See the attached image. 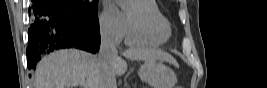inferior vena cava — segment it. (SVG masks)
Here are the masks:
<instances>
[{"mask_svg":"<svg viewBox=\"0 0 267 88\" xmlns=\"http://www.w3.org/2000/svg\"><path fill=\"white\" fill-rule=\"evenodd\" d=\"M101 44L99 50V82L95 88H116L115 71L113 68L114 61L118 58L116 44L112 33L103 27L100 31Z\"/></svg>","mask_w":267,"mask_h":88,"instance_id":"602c4592","label":"inferior vena cava"}]
</instances>
